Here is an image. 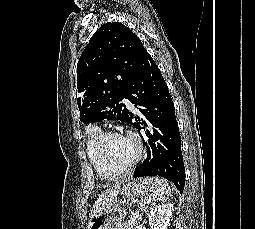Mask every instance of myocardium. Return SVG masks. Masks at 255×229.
<instances>
[{"instance_id":"obj_1","label":"myocardium","mask_w":255,"mask_h":229,"mask_svg":"<svg viewBox=\"0 0 255 229\" xmlns=\"http://www.w3.org/2000/svg\"><path fill=\"white\" fill-rule=\"evenodd\" d=\"M116 136H126L124 133L119 131H107L100 135L99 139L96 142L95 150L98 154V156L113 170L120 172V174L124 171H128L132 169L140 160L142 155V143L137 138H132L136 144V154L134 158L125 164H116L109 160L107 157L105 151H104V145L107 142L108 139Z\"/></svg>"}]
</instances>
